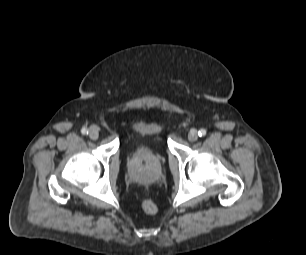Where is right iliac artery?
I'll use <instances>...</instances> for the list:
<instances>
[{"label":"right iliac artery","instance_id":"obj_1","mask_svg":"<svg viewBox=\"0 0 306 255\" xmlns=\"http://www.w3.org/2000/svg\"><path fill=\"white\" fill-rule=\"evenodd\" d=\"M81 133H82L83 135L88 134L87 128H82Z\"/></svg>","mask_w":306,"mask_h":255}]
</instances>
